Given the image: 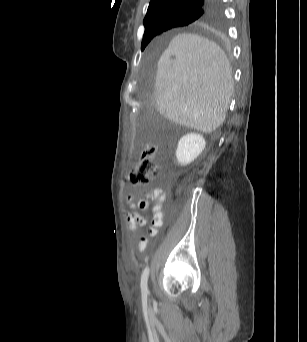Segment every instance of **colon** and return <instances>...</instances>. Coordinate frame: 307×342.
Wrapping results in <instances>:
<instances>
[{
	"instance_id": "obj_1",
	"label": "colon",
	"mask_w": 307,
	"mask_h": 342,
	"mask_svg": "<svg viewBox=\"0 0 307 342\" xmlns=\"http://www.w3.org/2000/svg\"><path fill=\"white\" fill-rule=\"evenodd\" d=\"M157 147L153 143L145 144L140 151V159L131 171L128 181L133 185H147L158 174V165L155 162Z\"/></svg>"
}]
</instances>
